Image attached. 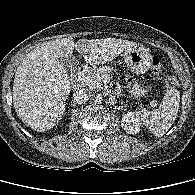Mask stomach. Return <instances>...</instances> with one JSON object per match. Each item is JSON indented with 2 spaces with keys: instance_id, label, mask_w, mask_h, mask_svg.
Instances as JSON below:
<instances>
[{
  "instance_id": "1",
  "label": "stomach",
  "mask_w": 195,
  "mask_h": 195,
  "mask_svg": "<svg viewBox=\"0 0 195 195\" xmlns=\"http://www.w3.org/2000/svg\"><path fill=\"white\" fill-rule=\"evenodd\" d=\"M127 67L135 74H144L151 66L152 55L143 45L137 44L124 51Z\"/></svg>"
}]
</instances>
